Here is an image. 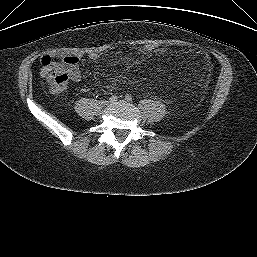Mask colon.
Listing matches in <instances>:
<instances>
[{"label":"colon","mask_w":257,"mask_h":257,"mask_svg":"<svg viewBox=\"0 0 257 257\" xmlns=\"http://www.w3.org/2000/svg\"><path fill=\"white\" fill-rule=\"evenodd\" d=\"M143 50L147 53H153L158 50V46L154 44H145ZM42 75L48 81L55 93L64 91L68 81V75L63 69L58 67L49 56H44L42 58Z\"/></svg>","instance_id":"obj_1"}]
</instances>
